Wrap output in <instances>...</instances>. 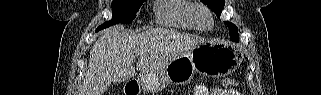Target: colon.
<instances>
[{
    "mask_svg": "<svg viewBox=\"0 0 321 95\" xmlns=\"http://www.w3.org/2000/svg\"><path fill=\"white\" fill-rule=\"evenodd\" d=\"M224 85L227 87H236L238 85V81L235 78L229 77L224 80Z\"/></svg>",
    "mask_w": 321,
    "mask_h": 95,
    "instance_id": "1",
    "label": "colon"
}]
</instances>
